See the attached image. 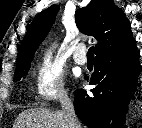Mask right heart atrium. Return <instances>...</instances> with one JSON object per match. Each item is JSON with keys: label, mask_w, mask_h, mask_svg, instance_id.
<instances>
[{"label": "right heart atrium", "mask_w": 142, "mask_h": 128, "mask_svg": "<svg viewBox=\"0 0 142 128\" xmlns=\"http://www.w3.org/2000/svg\"><path fill=\"white\" fill-rule=\"evenodd\" d=\"M34 83L37 97L47 103L66 96L63 70L49 54L38 60L34 71Z\"/></svg>", "instance_id": "right-heart-atrium-1"}]
</instances>
